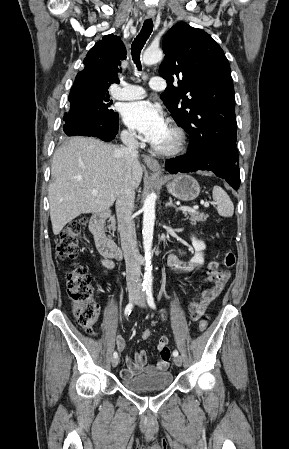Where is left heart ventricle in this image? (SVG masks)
Wrapping results in <instances>:
<instances>
[{"instance_id":"obj_1","label":"left heart ventricle","mask_w":289,"mask_h":449,"mask_svg":"<svg viewBox=\"0 0 289 449\" xmlns=\"http://www.w3.org/2000/svg\"><path fill=\"white\" fill-rule=\"evenodd\" d=\"M171 141H172V135H171L170 131L167 128V130L165 131L164 135L162 136V138L160 139V141L156 145L162 146V147L168 146L171 143Z\"/></svg>"}]
</instances>
